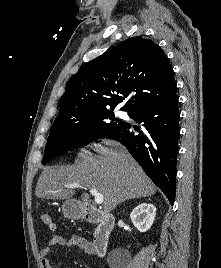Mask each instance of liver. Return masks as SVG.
<instances>
[{
    "label": "liver",
    "instance_id": "6515ba94",
    "mask_svg": "<svg viewBox=\"0 0 221 268\" xmlns=\"http://www.w3.org/2000/svg\"><path fill=\"white\" fill-rule=\"evenodd\" d=\"M110 145L99 146L98 156L82 150L72 166L44 168L36 197L73 200L74 188L65 185L78 183L84 189H97L104 196V212L109 213L125 200L154 195L155 184L127 150L114 141Z\"/></svg>",
    "mask_w": 221,
    "mask_h": 268
}]
</instances>
